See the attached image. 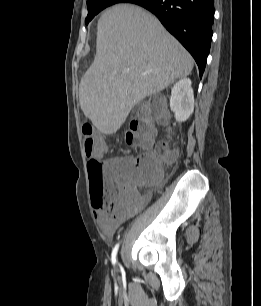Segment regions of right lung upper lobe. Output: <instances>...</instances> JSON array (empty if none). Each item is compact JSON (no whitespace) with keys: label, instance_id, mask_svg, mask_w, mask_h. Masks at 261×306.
I'll return each instance as SVG.
<instances>
[{"label":"right lung upper lobe","instance_id":"cb5924a9","mask_svg":"<svg viewBox=\"0 0 261 306\" xmlns=\"http://www.w3.org/2000/svg\"><path fill=\"white\" fill-rule=\"evenodd\" d=\"M124 2H121V3H125V2H128L130 3L131 1H134V0H123Z\"/></svg>","mask_w":261,"mask_h":306}]
</instances>
